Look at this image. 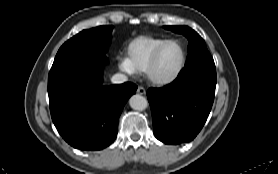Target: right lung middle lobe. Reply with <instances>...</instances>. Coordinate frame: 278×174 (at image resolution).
Listing matches in <instances>:
<instances>
[{"mask_svg":"<svg viewBox=\"0 0 278 174\" xmlns=\"http://www.w3.org/2000/svg\"><path fill=\"white\" fill-rule=\"evenodd\" d=\"M112 29L113 26H100L78 33L61 46L52 68L78 59L107 64L106 51L110 45Z\"/></svg>","mask_w":278,"mask_h":174,"instance_id":"1","label":"right lung middle lobe"}]
</instances>
